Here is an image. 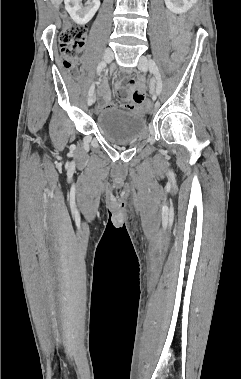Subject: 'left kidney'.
<instances>
[{
	"instance_id": "obj_1",
	"label": "left kidney",
	"mask_w": 241,
	"mask_h": 379,
	"mask_svg": "<svg viewBox=\"0 0 241 379\" xmlns=\"http://www.w3.org/2000/svg\"><path fill=\"white\" fill-rule=\"evenodd\" d=\"M196 2L197 0H165L167 8L175 14L187 12Z\"/></svg>"
}]
</instances>
